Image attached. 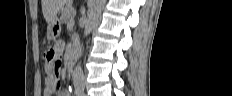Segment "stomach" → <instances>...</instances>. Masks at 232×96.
Returning <instances> with one entry per match:
<instances>
[{
  "instance_id": "1",
  "label": "stomach",
  "mask_w": 232,
  "mask_h": 96,
  "mask_svg": "<svg viewBox=\"0 0 232 96\" xmlns=\"http://www.w3.org/2000/svg\"><path fill=\"white\" fill-rule=\"evenodd\" d=\"M60 29V22L57 18H55L51 23L48 24V38L50 40L56 39L60 33Z\"/></svg>"
}]
</instances>
